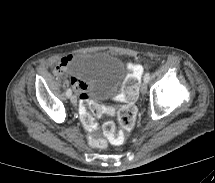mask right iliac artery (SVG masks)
Masks as SVG:
<instances>
[{
    "instance_id": "right-iliac-artery-1",
    "label": "right iliac artery",
    "mask_w": 215,
    "mask_h": 183,
    "mask_svg": "<svg viewBox=\"0 0 215 183\" xmlns=\"http://www.w3.org/2000/svg\"><path fill=\"white\" fill-rule=\"evenodd\" d=\"M72 95V90L71 89H68L67 92H66V96L67 97H70Z\"/></svg>"
}]
</instances>
